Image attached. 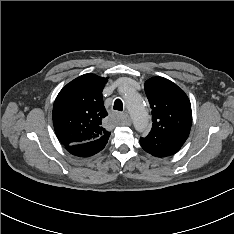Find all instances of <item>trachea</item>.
Wrapping results in <instances>:
<instances>
[{
	"instance_id": "3493384b",
	"label": "trachea",
	"mask_w": 234,
	"mask_h": 234,
	"mask_svg": "<svg viewBox=\"0 0 234 234\" xmlns=\"http://www.w3.org/2000/svg\"><path fill=\"white\" fill-rule=\"evenodd\" d=\"M114 110H118V111H122L123 110V103L120 99H116L114 102V106H113Z\"/></svg>"
}]
</instances>
